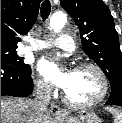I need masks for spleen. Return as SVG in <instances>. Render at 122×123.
<instances>
[{
	"mask_svg": "<svg viewBox=\"0 0 122 123\" xmlns=\"http://www.w3.org/2000/svg\"><path fill=\"white\" fill-rule=\"evenodd\" d=\"M108 111L114 117V123H122V111L115 107H109Z\"/></svg>",
	"mask_w": 122,
	"mask_h": 123,
	"instance_id": "3e777b00",
	"label": "spleen"
}]
</instances>
